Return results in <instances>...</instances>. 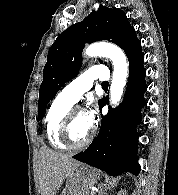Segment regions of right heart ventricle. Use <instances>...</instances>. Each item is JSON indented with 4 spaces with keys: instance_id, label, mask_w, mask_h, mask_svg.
<instances>
[{
    "instance_id": "obj_1",
    "label": "right heart ventricle",
    "mask_w": 178,
    "mask_h": 195,
    "mask_svg": "<svg viewBox=\"0 0 178 195\" xmlns=\"http://www.w3.org/2000/svg\"><path fill=\"white\" fill-rule=\"evenodd\" d=\"M73 103L65 99L61 94L53 100L46 116L45 131L49 144L56 150H65L67 147L60 141L59 131L62 121Z\"/></svg>"
}]
</instances>
